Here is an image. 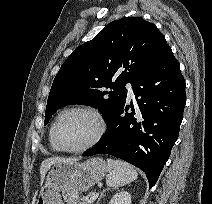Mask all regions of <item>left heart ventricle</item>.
Instances as JSON below:
<instances>
[{"label": "left heart ventricle", "mask_w": 212, "mask_h": 204, "mask_svg": "<svg viewBox=\"0 0 212 204\" xmlns=\"http://www.w3.org/2000/svg\"><path fill=\"white\" fill-rule=\"evenodd\" d=\"M95 130V123L90 116L73 112L60 120L57 135L65 147L77 148L86 144L93 137Z\"/></svg>", "instance_id": "1"}]
</instances>
